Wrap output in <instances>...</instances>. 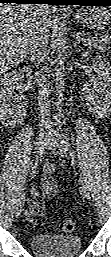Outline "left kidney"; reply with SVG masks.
<instances>
[{
  "label": "left kidney",
  "mask_w": 111,
  "mask_h": 257,
  "mask_svg": "<svg viewBox=\"0 0 111 257\" xmlns=\"http://www.w3.org/2000/svg\"><path fill=\"white\" fill-rule=\"evenodd\" d=\"M91 57L89 52L82 53L85 62ZM93 68L98 75L99 84L103 88L100 96L93 95L89 98V107L97 114L111 111V66L105 56L97 55L93 59Z\"/></svg>",
  "instance_id": "left-kidney-1"
}]
</instances>
